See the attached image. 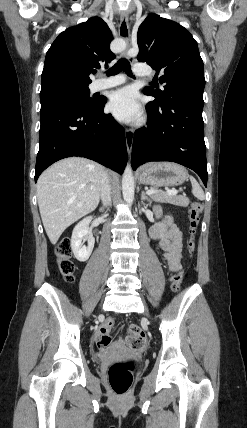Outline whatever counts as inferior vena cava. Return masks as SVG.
I'll use <instances>...</instances> for the list:
<instances>
[{"label":"inferior vena cava","mask_w":247,"mask_h":428,"mask_svg":"<svg viewBox=\"0 0 247 428\" xmlns=\"http://www.w3.org/2000/svg\"><path fill=\"white\" fill-rule=\"evenodd\" d=\"M110 190L111 186L109 183V177L107 172L103 171L102 174V185H101V199L104 206H108L110 204Z\"/></svg>","instance_id":"obj_1"}]
</instances>
